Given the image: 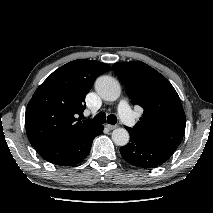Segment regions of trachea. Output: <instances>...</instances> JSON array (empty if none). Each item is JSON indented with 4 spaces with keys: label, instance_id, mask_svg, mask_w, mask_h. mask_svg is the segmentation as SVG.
<instances>
[{
    "label": "trachea",
    "instance_id": "3493384b",
    "mask_svg": "<svg viewBox=\"0 0 213 213\" xmlns=\"http://www.w3.org/2000/svg\"><path fill=\"white\" fill-rule=\"evenodd\" d=\"M93 120L97 123H109V124H116L117 123V117L113 114H110L106 117V114L104 112L98 113Z\"/></svg>",
    "mask_w": 213,
    "mask_h": 213
}]
</instances>
